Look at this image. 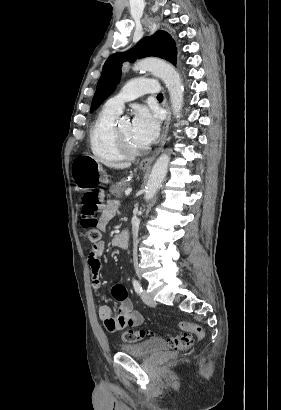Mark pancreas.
Masks as SVG:
<instances>
[{"instance_id":"pancreas-1","label":"pancreas","mask_w":281,"mask_h":410,"mask_svg":"<svg viewBox=\"0 0 281 410\" xmlns=\"http://www.w3.org/2000/svg\"><path fill=\"white\" fill-rule=\"evenodd\" d=\"M129 185L127 180H121L120 182L113 184L111 187L112 195L120 197Z\"/></svg>"}]
</instances>
